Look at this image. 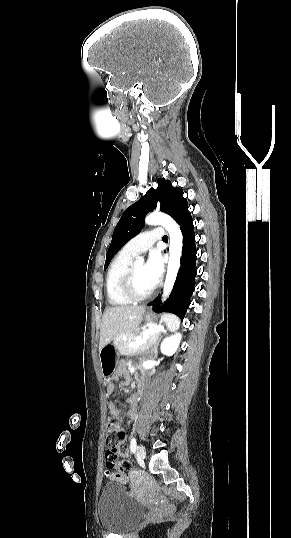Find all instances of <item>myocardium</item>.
I'll use <instances>...</instances> for the list:
<instances>
[{
  "label": "myocardium",
  "instance_id": "obj_1",
  "mask_svg": "<svg viewBox=\"0 0 291 538\" xmlns=\"http://www.w3.org/2000/svg\"><path fill=\"white\" fill-rule=\"evenodd\" d=\"M123 293L132 301H143L148 299L154 293V287L146 293L138 292L134 280V265H130L122 278Z\"/></svg>",
  "mask_w": 291,
  "mask_h": 538
}]
</instances>
